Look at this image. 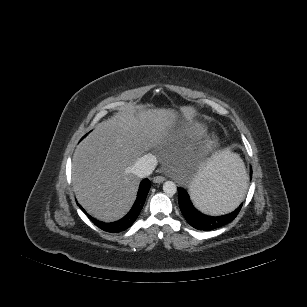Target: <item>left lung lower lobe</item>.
<instances>
[{"label": "left lung lower lobe", "mask_w": 307, "mask_h": 307, "mask_svg": "<svg viewBox=\"0 0 307 307\" xmlns=\"http://www.w3.org/2000/svg\"><path fill=\"white\" fill-rule=\"evenodd\" d=\"M252 169L250 168V176ZM237 183L240 189L241 200L244 197L247 188L246 179L239 180ZM179 193V207L189 225L198 230L209 231L226 225L236 218L241 210L242 204L233 212L222 216H207L198 211L192 204L187 191L183 188H178Z\"/></svg>", "instance_id": "0a47b994"}]
</instances>
